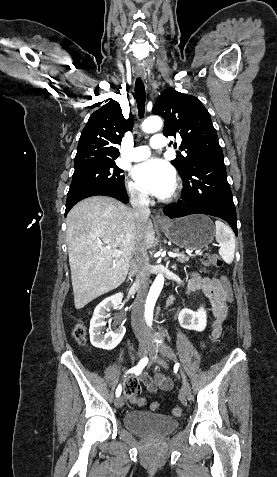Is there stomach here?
<instances>
[{"mask_svg": "<svg viewBox=\"0 0 277 477\" xmlns=\"http://www.w3.org/2000/svg\"><path fill=\"white\" fill-rule=\"evenodd\" d=\"M165 236L180 248L200 250L214 239L212 220L205 215H190L167 222L160 227Z\"/></svg>", "mask_w": 277, "mask_h": 477, "instance_id": "obj_1", "label": "stomach"}]
</instances>
